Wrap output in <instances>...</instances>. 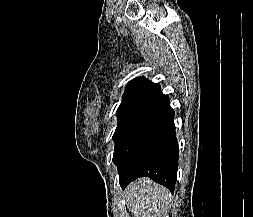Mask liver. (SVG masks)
<instances>
[{
  "instance_id": "liver-1",
  "label": "liver",
  "mask_w": 253,
  "mask_h": 217,
  "mask_svg": "<svg viewBox=\"0 0 253 217\" xmlns=\"http://www.w3.org/2000/svg\"><path fill=\"white\" fill-rule=\"evenodd\" d=\"M170 197L169 190L148 178L134 181L128 185L124 194L133 217H163Z\"/></svg>"
}]
</instances>
